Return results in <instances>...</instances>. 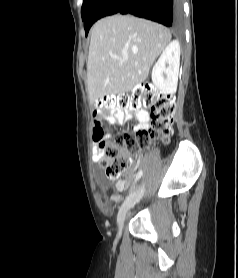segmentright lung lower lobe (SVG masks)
I'll return each mask as SVG.
<instances>
[{
    "label": "right lung lower lobe",
    "instance_id": "1",
    "mask_svg": "<svg viewBox=\"0 0 238 278\" xmlns=\"http://www.w3.org/2000/svg\"><path fill=\"white\" fill-rule=\"evenodd\" d=\"M116 13L133 14L173 28H179L183 19L181 0H98L84 19L86 35L98 19Z\"/></svg>",
    "mask_w": 238,
    "mask_h": 278
}]
</instances>
